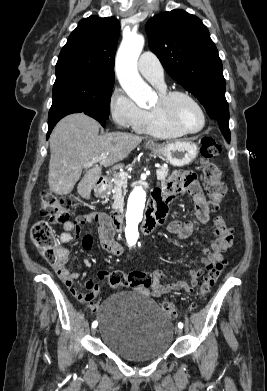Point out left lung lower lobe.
Returning a JSON list of instances; mask_svg holds the SVG:
<instances>
[{
  "instance_id": "1",
  "label": "left lung lower lobe",
  "mask_w": 267,
  "mask_h": 391,
  "mask_svg": "<svg viewBox=\"0 0 267 391\" xmlns=\"http://www.w3.org/2000/svg\"><path fill=\"white\" fill-rule=\"evenodd\" d=\"M219 125L221 132L228 142H230V130H229V119H219L215 120Z\"/></svg>"
}]
</instances>
